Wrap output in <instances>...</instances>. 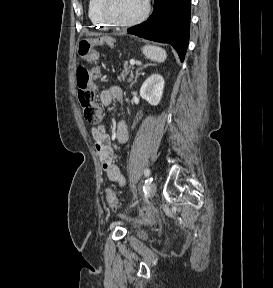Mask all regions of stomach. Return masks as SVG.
Instances as JSON below:
<instances>
[{"label":"stomach","mask_w":273,"mask_h":288,"mask_svg":"<svg viewBox=\"0 0 273 288\" xmlns=\"http://www.w3.org/2000/svg\"><path fill=\"white\" fill-rule=\"evenodd\" d=\"M83 41H85V43L88 45V50L92 49L93 46L95 45L94 39H84Z\"/></svg>","instance_id":"0dacf381"}]
</instances>
